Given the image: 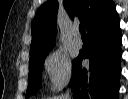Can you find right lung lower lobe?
<instances>
[{"label": "right lung lower lobe", "mask_w": 128, "mask_h": 99, "mask_svg": "<svg viewBox=\"0 0 128 99\" xmlns=\"http://www.w3.org/2000/svg\"><path fill=\"white\" fill-rule=\"evenodd\" d=\"M89 46L72 64L70 86L74 99H117L119 90L121 30L115 4L87 29ZM89 58V68L81 61Z\"/></svg>", "instance_id": "obj_1"}]
</instances>
